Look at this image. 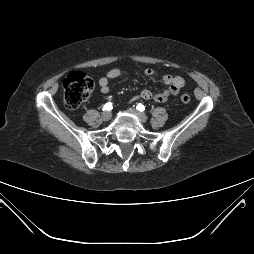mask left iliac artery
I'll return each instance as SVG.
<instances>
[{
    "label": "left iliac artery",
    "instance_id": "1",
    "mask_svg": "<svg viewBox=\"0 0 254 254\" xmlns=\"http://www.w3.org/2000/svg\"><path fill=\"white\" fill-rule=\"evenodd\" d=\"M136 109H137L138 111H141V112H142V111L145 110V106H144L143 104L140 103V104L137 105Z\"/></svg>",
    "mask_w": 254,
    "mask_h": 254
}]
</instances>
